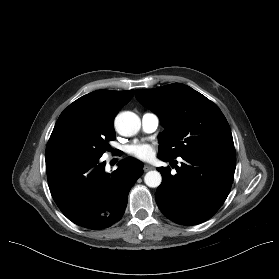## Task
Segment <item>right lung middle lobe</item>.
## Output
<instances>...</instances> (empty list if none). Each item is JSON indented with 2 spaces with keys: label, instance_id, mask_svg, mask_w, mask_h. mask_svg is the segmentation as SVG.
Returning a JSON list of instances; mask_svg holds the SVG:
<instances>
[{
  "label": "right lung middle lobe",
  "instance_id": "1",
  "mask_svg": "<svg viewBox=\"0 0 279 279\" xmlns=\"http://www.w3.org/2000/svg\"><path fill=\"white\" fill-rule=\"evenodd\" d=\"M116 138L114 127L81 108H66L46 147V164L62 160L99 158Z\"/></svg>",
  "mask_w": 279,
  "mask_h": 279
}]
</instances>
